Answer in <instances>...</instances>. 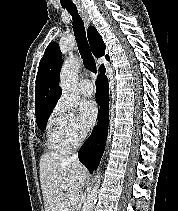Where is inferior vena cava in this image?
<instances>
[{
	"mask_svg": "<svg viewBox=\"0 0 178 211\" xmlns=\"http://www.w3.org/2000/svg\"><path fill=\"white\" fill-rule=\"evenodd\" d=\"M83 138H84V134L81 133L80 140L83 139ZM77 157H78V156H77V153H74V154L70 157V159L74 161V160H77Z\"/></svg>",
	"mask_w": 178,
	"mask_h": 211,
	"instance_id": "602c4592",
	"label": "inferior vena cava"
}]
</instances>
